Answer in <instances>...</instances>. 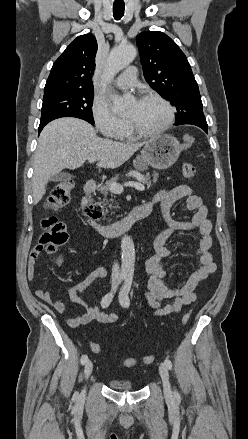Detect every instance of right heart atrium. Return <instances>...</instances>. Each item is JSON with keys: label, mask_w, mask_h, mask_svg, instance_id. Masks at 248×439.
Here are the masks:
<instances>
[{"label": "right heart atrium", "mask_w": 248, "mask_h": 439, "mask_svg": "<svg viewBox=\"0 0 248 439\" xmlns=\"http://www.w3.org/2000/svg\"><path fill=\"white\" fill-rule=\"evenodd\" d=\"M91 114L96 128L106 138H116L127 123L124 118L117 116L108 102L101 97L93 99Z\"/></svg>", "instance_id": "1"}]
</instances>
